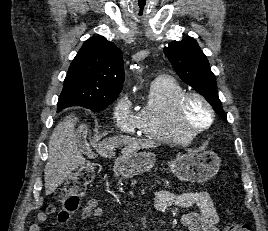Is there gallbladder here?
Returning <instances> with one entry per match:
<instances>
[{"label": "gallbladder", "mask_w": 268, "mask_h": 231, "mask_svg": "<svg viewBox=\"0 0 268 231\" xmlns=\"http://www.w3.org/2000/svg\"><path fill=\"white\" fill-rule=\"evenodd\" d=\"M79 148L85 155L91 154L90 150L86 149L82 141L79 143Z\"/></svg>", "instance_id": "1"}]
</instances>
